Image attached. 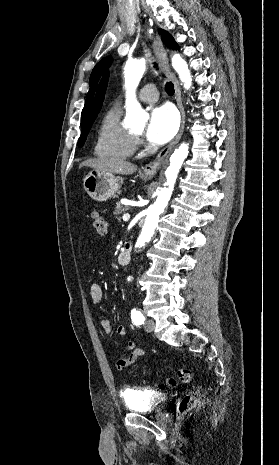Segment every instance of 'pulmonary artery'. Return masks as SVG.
<instances>
[{
    "label": "pulmonary artery",
    "mask_w": 279,
    "mask_h": 465,
    "mask_svg": "<svg viewBox=\"0 0 279 465\" xmlns=\"http://www.w3.org/2000/svg\"><path fill=\"white\" fill-rule=\"evenodd\" d=\"M139 99L146 103H153L158 99V91L154 84L145 85L140 93Z\"/></svg>",
    "instance_id": "e3ab8cb5"
}]
</instances>
